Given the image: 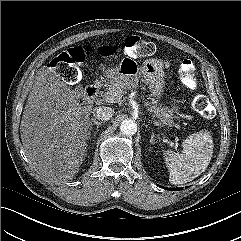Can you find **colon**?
<instances>
[{
    "label": "colon",
    "mask_w": 241,
    "mask_h": 241,
    "mask_svg": "<svg viewBox=\"0 0 241 241\" xmlns=\"http://www.w3.org/2000/svg\"><path fill=\"white\" fill-rule=\"evenodd\" d=\"M117 48L112 46L101 47L97 52L105 57L112 58L117 53ZM155 46L152 42L138 36H130L124 41V54L129 58L145 57L153 54ZM95 49L91 46L76 47L62 52L49 62L53 69L65 82L76 83L80 78V64L87 54H93ZM179 74L182 82L188 88H195V64L191 59H184L180 63ZM192 108L199 114L208 110V100L204 96H196L192 101Z\"/></svg>",
    "instance_id": "obj_1"
}]
</instances>
